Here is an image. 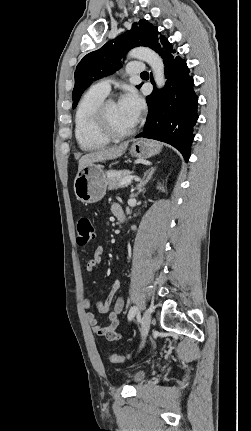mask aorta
I'll list each match as a JSON object with an SVG mask.
<instances>
[{
  "label": "aorta",
  "mask_w": 251,
  "mask_h": 431,
  "mask_svg": "<svg viewBox=\"0 0 251 431\" xmlns=\"http://www.w3.org/2000/svg\"><path fill=\"white\" fill-rule=\"evenodd\" d=\"M130 58H136L145 61L150 65L153 71L154 80L158 88L165 85L164 63L162 58L153 50L146 47H138L131 50L128 54Z\"/></svg>",
  "instance_id": "obj_1"
}]
</instances>
